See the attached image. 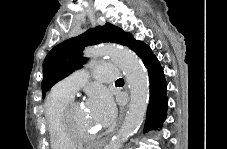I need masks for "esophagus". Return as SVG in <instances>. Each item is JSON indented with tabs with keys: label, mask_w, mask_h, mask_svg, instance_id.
I'll return each mask as SVG.
<instances>
[{
	"label": "esophagus",
	"mask_w": 227,
	"mask_h": 149,
	"mask_svg": "<svg viewBox=\"0 0 227 149\" xmlns=\"http://www.w3.org/2000/svg\"><path fill=\"white\" fill-rule=\"evenodd\" d=\"M124 114H125V111H122L120 116H119L117 127H116L115 130H118L119 126L121 125V123H122V121L124 119ZM107 141H110V138H107ZM107 141H104V144H107Z\"/></svg>",
	"instance_id": "obj_1"
}]
</instances>
